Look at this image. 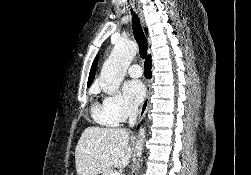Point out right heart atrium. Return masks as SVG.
<instances>
[{
	"label": "right heart atrium",
	"mask_w": 251,
	"mask_h": 175,
	"mask_svg": "<svg viewBox=\"0 0 251 175\" xmlns=\"http://www.w3.org/2000/svg\"><path fill=\"white\" fill-rule=\"evenodd\" d=\"M101 107L105 116L115 124L126 122L137 115V109L130 105L118 92L103 95Z\"/></svg>",
	"instance_id": "right-heart-atrium-1"
}]
</instances>
